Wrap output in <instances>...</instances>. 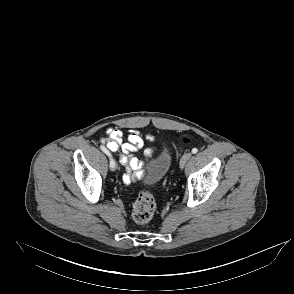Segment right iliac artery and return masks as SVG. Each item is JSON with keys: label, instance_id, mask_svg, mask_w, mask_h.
Segmentation results:
<instances>
[{"label": "right iliac artery", "instance_id": "82829eb1", "mask_svg": "<svg viewBox=\"0 0 294 294\" xmlns=\"http://www.w3.org/2000/svg\"><path fill=\"white\" fill-rule=\"evenodd\" d=\"M100 149L109 157V159H110V166H112V167L115 166L116 163H115V161H114L111 153L104 146H102V145L100 146Z\"/></svg>", "mask_w": 294, "mask_h": 294}]
</instances>
